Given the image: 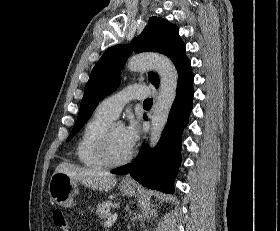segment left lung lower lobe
I'll return each mask as SVG.
<instances>
[{
  "label": "left lung lower lobe",
  "mask_w": 280,
  "mask_h": 231,
  "mask_svg": "<svg viewBox=\"0 0 280 231\" xmlns=\"http://www.w3.org/2000/svg\"><path fill=\"white\" fill-rule=\"evenodd\" d=\"M193 74L190 65L178 77L177 93L168 123L154 150L143 145L131 164L114 169L113 174L130 175L142 185L166 193H173V181L181 162V134L188 123L194 95Z\"/></svg>",
  "instance_id": "1"
}]
</instances>
